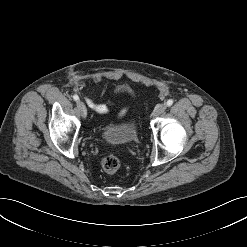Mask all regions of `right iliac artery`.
<instances>
[{
    "label": "right iliac artery",
    "instance_id": "1",
    "mask_svg": "<svg viewBox=\"0 0 247 247\" xmlns=\"http://www.w3.org/2000/svg\"><path fill=\"white\" fill-rule=\"evenodd\" d=\"M73 99H74L75 101H78V100H79V97L75 94V95H73Z\"/></svg>",
    "mask_w": 247,
    "mask_h": 247
}]
</instances>
